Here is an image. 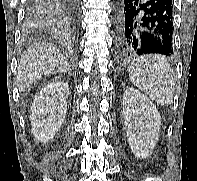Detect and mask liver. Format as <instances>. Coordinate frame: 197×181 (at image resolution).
Masks as SVG:
<instances>
[{"instance_id":"obj_1","label":"liver","mask_w":197,"mask_h":181,"mask_svg":"<svg viewBox=\"0 0 197 181\" xmlns=\"http://www.w3.org/2000/svg\"><path fill=\"white\" fill-rule=\"evenodd\" d=\"M69 69L70 64L58 48L41 43L22 55L18 65L17 86L20 91H26L43 76Z\"/></svg>"}]
</instances>
